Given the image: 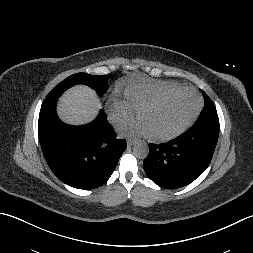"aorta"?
<instances>
[{
    "label": "aorta",
    "instance_id": "aorta-1",
    "mask_svg": "<svg viewBox=\"0 0 253 253\" xmlns=\"http://www.w3.org/2000/svg\"><path fill=\"white\" fill-rule=\"evenodd\" d=\"M134 155L139 159H145L149 153V147L147 143L143 141L137 142L133 147Z\"/></svg>",
    "mask_w": 253,
    "mask_h": 253
}]
</instances>
